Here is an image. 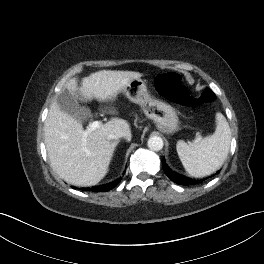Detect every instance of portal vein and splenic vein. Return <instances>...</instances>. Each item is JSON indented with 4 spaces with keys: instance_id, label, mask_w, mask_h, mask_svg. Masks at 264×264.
Here are the masks:
<instances>
[{
    "instance_id": "18ae733b",
    "label": "portal vein and splenic vein",
    "mask_w": 264,
    "mask_h": 264,
    "mask_svg": "<svg viewBox=\"0 0 264 264\" xmlns=\"http://www.w3.org/2000/svg\"><path fill=\"white\" fill-rule=\"evenodd\" d=\"M100 126H101L100 121H94V122L90 123L88 130H86L84 132L83 136L86 137L91 131H94V130L100 128Z\"/></svg>"
}]
</instances>
